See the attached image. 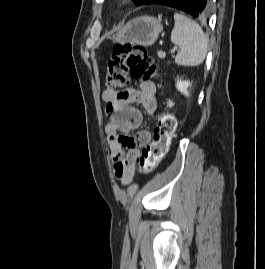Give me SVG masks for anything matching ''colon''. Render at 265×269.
<instances>
[{
    "mask_svg": "<svg viewBox=\"0 0 265 269\" xmlns=\"http://www.w3.org/2000/svg\"><path fill=\"white\" fill-rule=\"evenodd\" d=\"M157 72V64L143 46L120 44L114 47L108 59L106 87L116 91L128 83L129 75L149 79ZM172 106V101H166L162 111L157 114L152 140L137 159L136 167L141 173L152 171L169 150L176 130V120L169 112Z\"/></svg>",
    "mask_w": 265,
    "mask_h": 269,
    "instance_id": "1",
    "label": "colon"
}]
</instances>
